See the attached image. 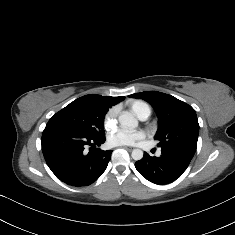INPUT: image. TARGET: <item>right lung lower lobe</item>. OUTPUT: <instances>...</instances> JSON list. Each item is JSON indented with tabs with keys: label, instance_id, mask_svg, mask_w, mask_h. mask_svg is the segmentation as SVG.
Segmentation results:
<instances>
[{
	"label": "right lung lower lobe",
	"instance_id": "obj_1",
	"mask_svg": "<svg viewBox=\"0 0 235 235\" xmlns=\"http://www.w3.org/2000/svg\"><path fill=\"white\" fill-rule=\"evenodd\" d=\"M104 138H94L71 127L48 122L41 139L42 152L54 175L64 183L81 187L95 182L106 170L111 150L95 148ZM90 146L86 153L85 148Z\"/></svg>",
	"mask_w": 235,
	"mask_h": 235
}]
</instances>
